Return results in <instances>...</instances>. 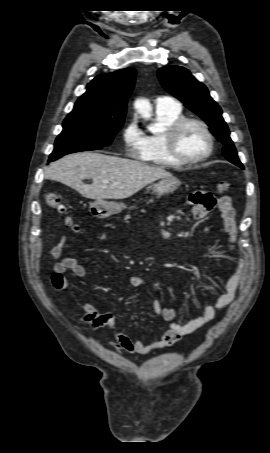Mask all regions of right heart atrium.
Returning a JSON list of instances; mask_svg holds the SVG:
<instances>
[{"label": "right heart atrium", "instance_id": "d8ad5b80", "mask_svg": "<svg viewBox=\"0 0 270 453\" xmlns=\"http://www.w3.org/2000/svg\"><path fill=\"white\" fill-rule=\"evenodd\" d=\"M122 140L129 156L135 157L139 154L144 142V133L136 119L133 118L126 124L123 129Z\"/></svg>", "mask_w": 270, "mask_h": 453}]
</instances>
